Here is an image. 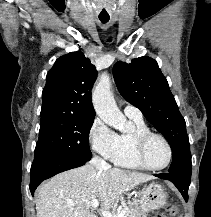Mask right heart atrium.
Instances as JSON below:
<instances>
[{
    "mask_svg": "<svg viewBox=\"0 0 211 217\" xmlns=\"http://www.w3.org/2000/svg\"><path fill=\"white\" fill-rule=\"evenodd\" d=\"M89 143L94 152L111 160L118 145V135L101 119L96 118L88 133Z\"/></svg>",
    "mask_w": 211,
    "mask_h": 217,
    "instance_id": "obj_1",
    "label": "right heart atrium"
}]
</instances>
